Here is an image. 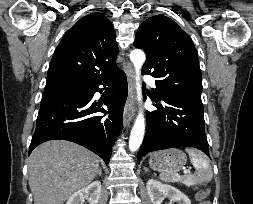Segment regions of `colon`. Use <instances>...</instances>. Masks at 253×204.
<instances>
[{
    "instance_id": "1",
    "label": "colon",
    "mask_w": 253,
    "mask_h": 204,
    "mask_svg": "<svg viewBox=\"0 0 253 204\" xmlns=\"http://www.w3.org/2000/svg\"><path fill=\"white\" fill-rule=\"evenodd\" d=\"M197 197L200 200V204H210V202L206 198V192L204 191L199 192Z\"/></svg>"
}]
</instances>
